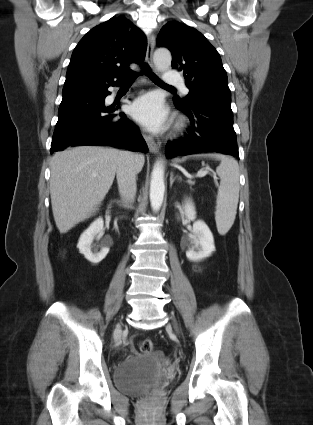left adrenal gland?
<instances>
[{
  "instance_id": "left-adrenal-gland-1",
  "label": "left adrenal gland",
  "mask_w": 313,
  "mask_h": 425,
  "mask_svg": "<svg viewBox=\"0 0 313 425\" xmlns=\"http://www.w3.org/2000/svg\"><path fill=\"white\" fill-rule=\"evenodd\" d=\"M176 179L181 180V178H180V177H178V176H175V177H174L173 172H171V173H170V187H172V185H173V183H174V181H175Z\"/></svg>"
}]
</instances>
